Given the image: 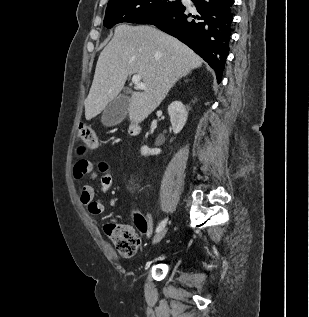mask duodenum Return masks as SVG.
Listing matches in <instances>:
<instances>
[{
	"mask_svg": "<svg viewBox=\"0 0 309 317\" xmlns=\"http://www.w3.org/2000/svg\"><path fill=\"white\" fill-rule=\"evenodd\" d=\"M139 132H140V126L138 124L133 123V124L130 125L129 133L131 135L135 136V135L139 134Z\"/></svg>",
	"mask_w": 309,
	"mask_h": 317,
	"instance_id": "duodenum-1",
	"label": "duodenum"
}]
</instances>
